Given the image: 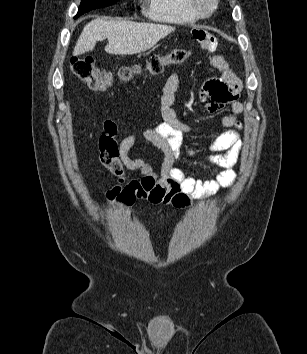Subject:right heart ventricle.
<instances>
[{
    "instance_id": "e07e8e85",
    "label": "right heart ventricle",
    "mask_w": 307,
    "mask_h": 354,
    "mask_svg": "<svg viewBox=\"0 0 307 354\" xmlns=\"http://www.w3.org/2000/svg\"><path fill=\"white\" fill-rule=\"evenodd\" d=\"M145 14L150 19L170 24H192L198 17L190 10L188 0H146Z\"/></svg>"
}]
</instances>
